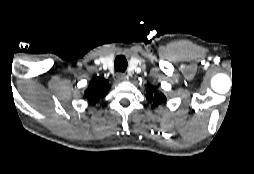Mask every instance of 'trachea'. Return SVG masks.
<instances>
[{
	"label": "trachea",
	"mask_w": 254,
	"mask_h": 174,
	"mask_svg": "<svg viewBox=\"0 0 254 174\" xmlns=\"http://www.w3.org/2000/svg\"><path fill=\"white\" fill-rule=\"evenodd\" d=\"M128 62L124 55H119L115 58V70L124 72L127 68Z\"/></svg>",
	"instance_id": "1"
}]
</instances>
